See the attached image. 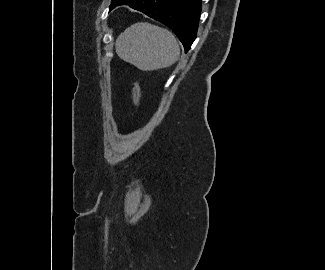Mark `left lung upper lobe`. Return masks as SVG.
Returning <instances> with one entry per match:
<instances>
[{"label":"left lung upper lobe","mask_w":325,"mask_h":270,"mask_svg":"<svg viewBox=\"0 0 325 270\" xmlns=\"http://www.w3.org/2000/svg\"><path fill=\"white\" fill-rule=\"evenodd\" d=\"M120 0H112L111 1V5H110V9Z\"/></svg>","instance_id":"left-lung-upper-lobe-1"}]
</instances>
